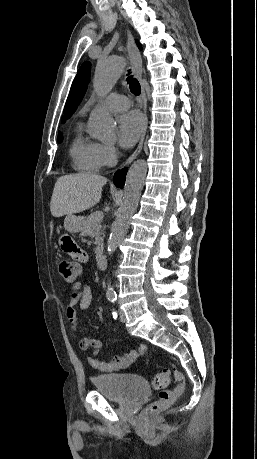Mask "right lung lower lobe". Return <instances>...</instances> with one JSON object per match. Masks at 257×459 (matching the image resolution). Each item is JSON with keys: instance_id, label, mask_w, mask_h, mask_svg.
<instances>
[{"instance_id": "98d812e1", "label": "right lung lower lobe", "mask_w": 257, "mask_h": 459, "mask_svg": "<svg viewBox=\"0 0 257 459\" xmlns=\"http://www.w3.org/2000/svg\"><path fill=\"white\" fill-rule=\"evenodd\" d=\"M126 170L117 171L114 175V184L117 187H122L125 181Z\"/></svg>"}]
</instances>
